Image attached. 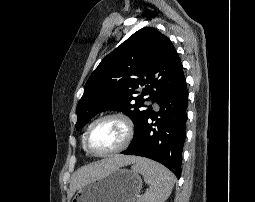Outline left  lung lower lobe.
Instances as JSON below:
<instances>
[{
  "mask_svg": "<svg viewBox=\"0 0 255 202\" xmlns=\"http://www.w3.org/2000/svg\"><path fill=\"white\" fill-rule=\"evenodd\" d=\"M156 103L159 111L149 112L128 149L121 153L160 162L180 178L187 121L186 80L164 94Z\"/></svg>",
  "mask_w": 255,
  "mask_h": 202,
  "instance_id": "1",
  "label": "left lung lower lobe"
}]
</instances>
